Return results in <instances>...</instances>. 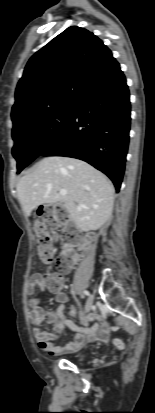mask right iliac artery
<instances>
[{
    "label": "right iliac artery",
    "mask_w": 155,
    "mask_h": 413,
    "mask_svg": "<svg viewBox=\"0 0 155 413\" xmlns=\"http://www.w3.org/2000/svg\"><path fill=\"white\" fill-rule=\"evenodd\" d=\"M83 294L85 295H89L88 291H84Z\"/></svg>",
    "instance_id": "82829eb1"
}]
</instances>
